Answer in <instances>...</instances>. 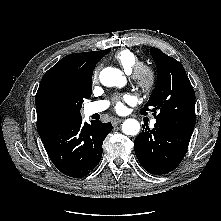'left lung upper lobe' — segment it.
Wrapping results in <instances>:
<instances>
[{
  "label": "left lung upper lobe",
  "mask_w": 221,
  "mask_h": 221,
  "mask_svg": "<svg viewBox=\"0 0 221 221\" xmlns=\"http://www.w3.org/2000/svg\"><path fill=\"white\" fill-rule=\"evenodd\" d=\"M150 53L157 65L158 80L140 112L151 110L157 124L192 133L196 122L195 93L184 67L157 48H151Z\"/></svg>",
  "instance_id": "left-lung-upper-lobe-1"
}]
</instances>
